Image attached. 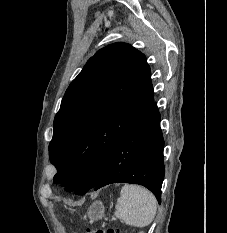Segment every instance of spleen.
I'll use <instances>...</instances> for the list:
<instances>
[{"mask_svg": "<svg viewBox=\"0 0 227 233\" xmlns=\"http://www.w3.org/2000/svg\"><path fill=\"white\" fill-rule=\"evenodd\" d=\"M115 216L127 225L143 228L155 218L157 201L141 186L125 184L115 206Z\"/></svg>", "mask_w": 227, "mask_h": 233, "instance_id": "3e777b00", "label": "spleen"}]
</instances>
